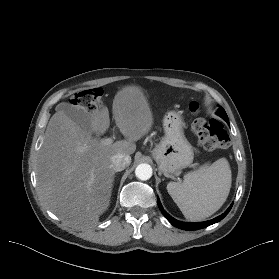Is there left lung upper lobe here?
I'll return each instance as SVG.
<instances>
[{"instance_id": "1", "label": "left lung upper lobe", "mask_w": 279, "mask_h": 279, "mask_svg": "<svg viewBox=\"0 0 279 279\" xmlns=\"http://www.w3.org/2000/svg\"><path fill=\"white\" fill-rule=\"evenodd\" d=\"M217 114H218L221 118H223L227 123H229L228 116H227L225 110H224L222 107H220V108L217 110Z\"/></svg>"}]
</instances>
